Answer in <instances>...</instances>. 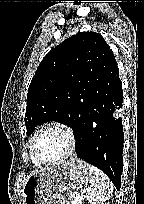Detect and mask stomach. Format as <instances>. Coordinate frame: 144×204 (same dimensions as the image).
<instances>
[{"label":"stomach","mask_w":144,"mask_h":204,"mask_svg":"<svg viewBox=\"0 0 144 204\" xmlns=\"http://www.w3.org/2000/svg\"><path fill=\"white\" fill-rule=\"evenodd\" d=\"M88 183L89 165L73 159L28 176L22 197L24 204H66L82 194Z\"/></svg>","instance_id":"obj_1"}]
</instances>
